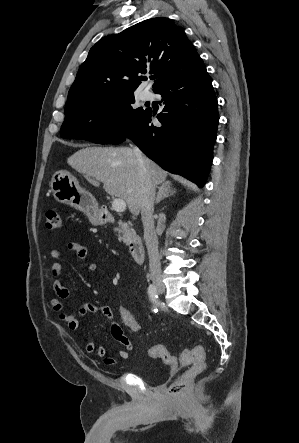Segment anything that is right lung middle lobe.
<instances>
[{
  "instance_id": "obj_1",
  "label": "right lung middle lobe",
  "mask_w": 299,
  "mask_h": 443,
  "mask_svg": "<svg viewBox=\"0 0 299 443\" xmlns=\"http://www.w3.org/2000/svg\"><path fill=\"white\" fill-rule=\"evenodd\" d=\"M134 103V94L130 93L67 106L60 135L66 139L108 144L145 111L134 109Z\"/></svg>"
}]
</instances>
